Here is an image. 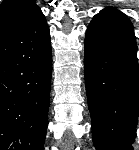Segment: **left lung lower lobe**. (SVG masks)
<instances>
[{
	"instance_id": "left-lung-lower-lobe-1",
	"label": "left lung lower lobe",
	"mask_w": 139,
	"mask_h": 150,
	"mask_svg": "<svg viewBox=\"0 0 139 150\" xmlns=\"http://www.w3.org/2000/svg\"><path fill=\"white\" fill-rule=\"evenodd\" d=\"M85 83L97 150H133L139 114V67L132 23L105 8L85 37Z\"/></svg>"
}]
</instances>
